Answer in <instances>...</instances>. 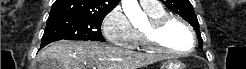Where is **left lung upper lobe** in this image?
<instances>
[{
	"instance_id": "obj_1",
	"label": "left lung upper lobe",
	"mask_w": 246,
	"mask_h": 69,
	"mask_svg": "<svg viewBox=\"0 0 246 69\" xmlns=\"http://www.w3.org/2000/svg\"><path fill=\"white\" fill-rule=\"evenodd\" d=\"M161 2L193 26L197 33L199 45L202 46L203 41L199 31V23L189 0H161Z\"/></svg>"
}]
</instances>
